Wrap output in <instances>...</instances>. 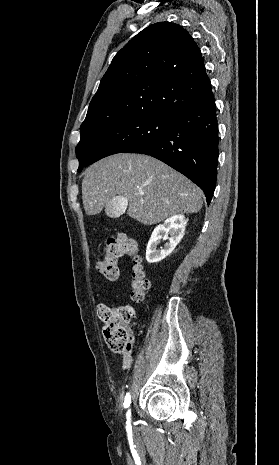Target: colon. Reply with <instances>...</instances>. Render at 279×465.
Wrapping results in <instances>:
<instances>
[{
  "label": "colon",
  "instance_id": "obj_1",
  "mask_svg": "<svg viewBox=\"0 0 279 465\" xmlns=\"http://www.w3.org/2000/svg\"><path fill=\"white\" fill-rule=\"evenodd\" d=\"M125 256L133 262L130 294L134 302H141L150 289V282L142 266L136 242L125 234L109 237L105 242L104 253L97 259L98 271L109 280L119 275L118 263ZM98 315L103 322V335L109 347L117 353H130L133 337L129 323L134 317V309L129 305L111 307L98 306Z\"/></svg>",
  "mask_w": 279,
  "mask_h": 465
}]
</instances>
